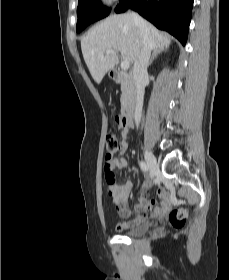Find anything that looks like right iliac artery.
Returning <instances> with one entry per match:
<instances>
[{
	"label": "right iliac artery",
	"instance_id": "obj_1",
	"mask_svg": "<svg viewBox=\"0 0 229 280\" xmlns=\"http://www.w3.org/2000/svg\"><path fill=\"white\" fill-rule=\"evenodd\" d=\"M139 165H140L141 170H142L144 173H147V172H148V167H147V165H146L145 162L141 161V162L139 163Z\"/></svg>",
	"mask_w": 229,
	"mask_h": 280
}]
</instances>
